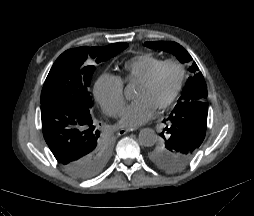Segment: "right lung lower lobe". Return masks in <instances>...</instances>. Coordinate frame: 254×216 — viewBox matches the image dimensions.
<instances>
[{
  "mask_svg": "<svg viewBox=\"0 0 254 216\" xmlns=\"http://www.w3.org/2000/svg\"><path fill=\"white\" fill-rule=\"evenodd\" d=\"M45 141L58 163L72 176L86 179L100 169V139L94 132L89 109H82L64 99L41 104Z\"/></svg>",
  "mask_w": 254,
  "mask_h": 216,
  "instance_id": "1",
  "label": "right lung lower lobe"
}]
</instances>
